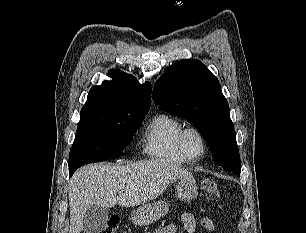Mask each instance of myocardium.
Returning a JSON list of instances; mask_svg holds the SVG:
<instances>
[{
    "label": "myocardium",
    "mask_w": 306,
    "mask_h": 233,
    "mask_svg": "<svg viewBox=\"0 0 306 233\" xmlns=\"http://www.w3.org/2000/svg\"><path fill=\"white\" fill-rule=\"evenodd\" d=\"M191 133L195 134L200 139L201 144H202L201 154L197 157H194V158L190 157L187 154V151H186V148H185V139ZM178 148H179V152H180L181 156L183 157V159L185 161L196 162V161L201 160L205 156V154L207 152V141H206V138H205L204 134L199 129H197L195 127H186L181 131V133L179 135Z\"/></svg>",
    "instance_id": "f54148a6"
}]
</instances>
